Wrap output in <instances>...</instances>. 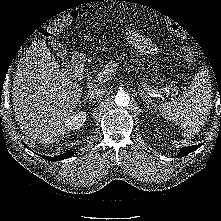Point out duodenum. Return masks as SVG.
<instances>
[{"label":"duodenum","instance_id":"duodenum-1","mask_svg":"<svg viewBox=\"0 0 221 221\" xmlns=\"http://www.w3.org/2000/svg\"><path fill=\"white\" fill-rule=\"evenodd\" d=\"M75 72L80 76L83 77L85 72V64L82 58H76V69Z\"/></svg>","mask_w":221,"mask_h":221}]
</instances>
